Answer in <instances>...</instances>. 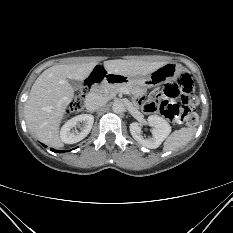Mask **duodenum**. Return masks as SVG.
I'll use <instances>...</instances> for the list:
<instances>
[{
    "label": "duodenum",
    "mask_w": 233,
    "mask_h": 233,
    "mask_svg": "<svg viewBox=\"0 0 233 233\" xmlns=\"http://www.w3.org/2000/svg\"><path fill=\"white\" fill-rule=\"evenodd\" d=\"M93 73L89 76L87 81L84 82V87L86 88L87 92H100L101 86L99 83L106 82L108 84H115L118 82L114 81V76L116 74L114 73H108L105 70L104 66L101 64H98L94 67Z\"/></svg>",
    "instance_id": "1"
}]
</instances>
